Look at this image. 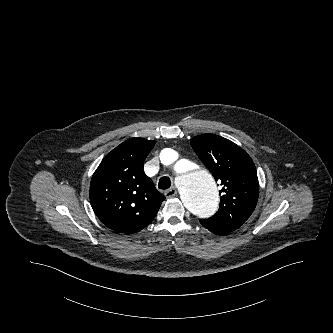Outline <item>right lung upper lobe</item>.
<instances>
[{"mask_svg":"<svg viewBox=\"0 0 333 333\" xmlns=\"http://www.w3.org/2000/svg\"><path fill=\"white\" fill-rule=\"evenodd\" d=\"M155 141L131 138L108 153L90 184V203L108 228L131 234L154 219L165 197L143 171Z\"/></svg>","mask_w":333,"mask_h":333,"instance_id":"cb5924a9","label":"right lung upper lobe"}]
</instances>
